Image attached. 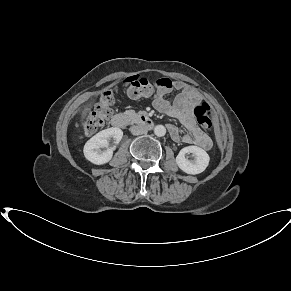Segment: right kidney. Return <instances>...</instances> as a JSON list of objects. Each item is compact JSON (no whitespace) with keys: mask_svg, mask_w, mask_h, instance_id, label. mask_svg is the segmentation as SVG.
I'll list each match as a JSON object with an SVG mask.
<instances>
[{"mask_svg":"<svg viewBox=\"0 0 291 291\" xmlns=\"http://www.w3.org/2000/svg\"><path fill=\"white\" fill-rule=\"evenodd\" d=\"M122 137V130L116 127L100 131L86 142L83 149L85 158L96 165L108 163L112 159L113 150ZM109 139H112L115 144L111 148H109ZM102 148H106V150H102Z\"/></svg>","mask_w":291,"mask_h":291,"instance_id":"ca27d5eb","label":"right kidney"}]
</instances>
